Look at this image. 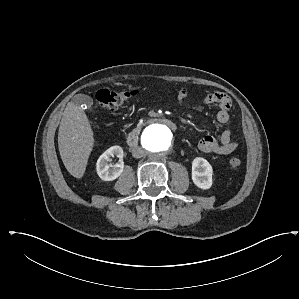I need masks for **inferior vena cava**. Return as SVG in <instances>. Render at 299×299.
I'll return each instance as SVG.
<instances>
[{
  "instance_id": "602c4592",
  "label": "inferior vena cava",
  "mask_w": 299,
  "mask_h": 299,
  "mask_svg": "<svg viewBox=\"0 0 299 299\" xmlns=\"http://www.w3.org/2000/svg\"><path fill=\"white\" fill-rule=\"evenodd\" d=\"M132 155L134 158H141L145 155V151L141 147L136 146L132 148Z\"/></svg>"
}]
</instances>
